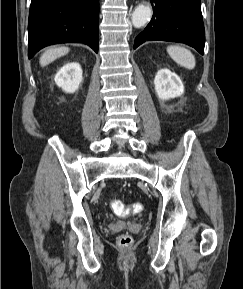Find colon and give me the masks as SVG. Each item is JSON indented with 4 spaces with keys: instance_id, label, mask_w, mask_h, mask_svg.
<instances>
[{
    "instance_id": "1",
    "label": "colon",
    "mask_w": 243,
    "mask_h": 289,
    "mask_svg": "<svg viewBox=\"0 0 243 289\" xmlns=\"http://www.w3.org/2000/svg\"><path fill=\"white\" fill-rule=\"evenodd\" d=\"M111 208L113 213L118 217H125L128 215L139 214L143 211V204L136 202L130 206H126L122 201L115 199L111 202ZM133 242V239L128 234H122L118 237V245L121 247H129Z\"/></svg>"
}]
</instances>
